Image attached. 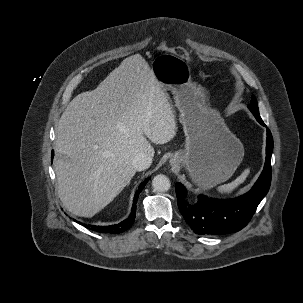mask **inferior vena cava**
<instances>
[{"label": "inferior vena cava", "instance_id": "602c4592", "mask_svg": "<svg viewBox=\"0 0 303 303\" xmlns=\"http://www.w3.org/2000/svg\"><path fill=\"white\" fill-rule=\"evenodd\" d=\"M131 163L136 171H142L147 169L151 165L152 157L140 152L132 157Z\"/></svg>", "mask_w": 303, "mask_h": 303}]
</instances>
